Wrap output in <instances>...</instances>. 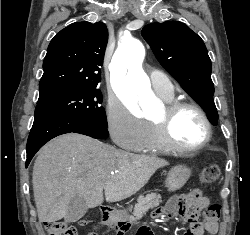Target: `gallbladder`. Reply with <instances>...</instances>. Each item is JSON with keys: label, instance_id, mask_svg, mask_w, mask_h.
<instances>
[{"label": "gallbladder", "instance_id": "1", "mask_svg": "<svg viewBox=\"0 0 250 235\" xmlns=\"http://www.w3.org/2000/svg\"><path fill=\"white\" fill-rule=\"evenodd\" d=\"M87 210L85 199L81 196H76L69 202L64 220L66 222H76L86 214Z\"/></svg>", "mask_w": 250, "mask_h": 235}]
</instances>
